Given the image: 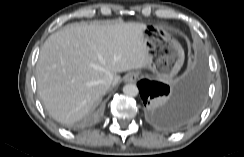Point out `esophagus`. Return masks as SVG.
<instances>
[{
  "instance_id": "esophagus-1",
  "label": "esophagus",
  "mask_w": 244,
  "mask_h": 157,
  "mask_svg": "<svg viewBox=\"0 0 244 157\" xmlns=\"http://www.w3.org/2000/svg\"><path fill=\"white\" fill-rule=\"evenodd\" d=\"M138 76H139L138 73L130 72L124 76L123 80H124V82H127V83H133L137 80Z\"/></svg>"
}]
</instances>
